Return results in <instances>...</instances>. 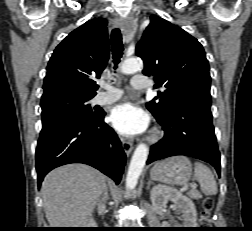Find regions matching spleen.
I'll use <instances>...</instances> for the list:
<instances>
[{
  "label": "spleen",
  "instance_id": "spleen-1",
  "mask_svg": "<svg viewBox=\"0 0 252 231\" xmlns=\"http://www.w3.org/2000/svg\"><path fill=\"white\" fill-rule=\"evenodd\" d=\"M194 178L199 182L201 191L205 195L217 194V183L211 170L202 163L194 164Z\"/></svg>",
  "mask_w": 252,
  "mask_h": 231
}]
</instances>
